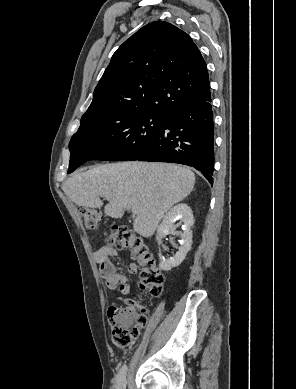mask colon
Returning a JSON list of instances; mask_svg holds the SVG:
<instances>
[{
  "label": "colon",
  "mask_w": 296,
  "mask_h": 389,
  "mask_svg": "<svg viewBox=\"0 0 296 389\" xmlns=\"http://www.w3.org/2000/svg\"><path fill=\"white\" fill-rule=\"evenodd\" d=\"M79 214L89 229H96L102 219L98 209L81 207ZM107 243L115 249H128L140 266L139 286L151 295L161 294L164 275L160 270L156 257L144 238L125 226H113L106 231ZM108 320L111 325V339L120 349L135 343L140 336L141 328L146 324L144 310L134 301H127L123 307H110Z\"/></svg>",
  "instance_id": "5ec220e1"
}]
</instances>
